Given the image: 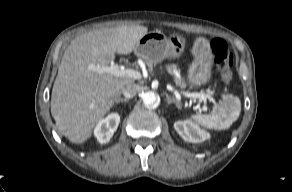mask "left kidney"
Instances as JSON below:
<instances>
[{
	"label": "left kidney",
	"instance_id": "left-kidney-1",
	"mask_svg": "<svg viewBox=\"0 0 292 192\" xmlns=\"http://www.w3.org/2000/svg\"><path fill=\"white\" fill-rule=\"evenodd\" d=\"M177 133L187 142L200 143L209 138V133L190 120L177 121L174 124Z\"/></svg>",
	"mask_w": 292,
	"mask_h": 192
}]
</instances>
